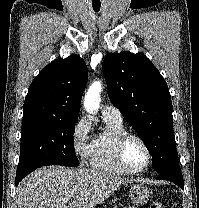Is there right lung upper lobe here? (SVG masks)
Masks as SVG:
<instances>
[{
	"instance_id": "cb5924a9",
	"label": "right lung upper lobe",
	"mask_w": 199,
	"mask_h": 208,
	"mask_svg": "<svg viewBox=\"0 0 199 208\" xmlns=\"http://www.w3.org/2000/svg\"><path fill=\"white\" fill-rule=\"evenodd\" d=\"M87 81V66L78 55L54 60L32 81L24 101L23 116L77 118Z\"/></svg>"
}]
</instances>
